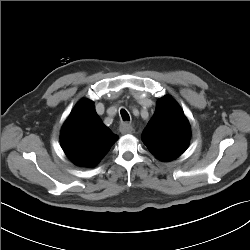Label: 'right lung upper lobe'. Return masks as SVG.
Listing matches in <instances>:
<instances>
[{"instance_id": "right-lung-upper-lobe-1", "label": "right lung upper lobe", "mask_w": 250, "mask_h": 250, "mask_svg": "<svg viewBox=\"0 0 250 250\" xmlns=\"http://www.w3.org/2000/svg\"><path fill=\"white\" fill-rule=\"evenodd\" d=\"M117 139L102 123L89 99L75 106L61 131L65 154L76 165L84 167L97 165Z\"/></svg>"}]
</instances>
